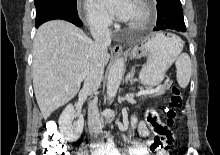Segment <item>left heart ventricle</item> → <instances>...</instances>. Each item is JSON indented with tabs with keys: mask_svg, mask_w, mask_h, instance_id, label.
<instances>
[{
	"mask_svg": "<svg viewBox=\"0 0 220 155\" xmlns=\"http://www.w3.org/2000/svg\"><path fill=\"white\" fill-rule=\"evenodd\" d=\"M142 15H143L142 9L134 3L130 16L128 18V22L138 21L141 19Z\"/></svg>",
	"mask_w": 220,
	"mask_h": 155,
	"instance_id": "obj_1",
	"label": "left heart ventricle"
}]
</instances>
